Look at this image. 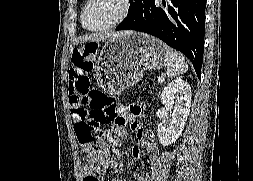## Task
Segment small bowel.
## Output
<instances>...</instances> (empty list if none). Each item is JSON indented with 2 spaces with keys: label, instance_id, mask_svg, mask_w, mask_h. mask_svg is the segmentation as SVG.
<instances>
[{
  "label": "small bowel",
  "instance_id": "1",
  "mask_svg": "<svg viewBox=\"0 0 253 181\" xmlns=\"http://www.w3.org/2000/svg\"><path fill=\"white\" fill-rule=\"evenodd\" d=\"M92 67L93 58L87 55L73 61L68 83L70 101L74 97L83 95L90 90L89 72ZM140 113L141 108L138 106H120L117 111L115 128L109 133L108 139L118 145L120 138L125 133L126 126L129 124L136 134V143L131 150L133 161L138 162L142 159L144 149L148 155V162L154 163L158 157V148L153 135L148 133L136 121ZM117 166L118 163L115 159H109L104 167H93L91 169L88 165H85L83 168V181H108L107 178H103V174H94V172H104L109 169H114ZM112 181H129V179H114Z\"/></svg>",
  "mask_w": 253,
  "mask_h": 181
}]
</instances>
